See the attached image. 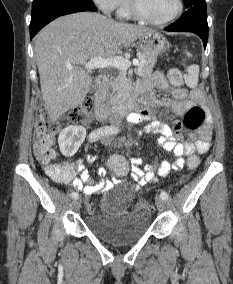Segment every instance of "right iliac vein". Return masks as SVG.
<instances>
[{
  "label": "right iliac vein",
  "instance_id": "63e3f726",
  "mask_svg": "<svg viewBox=\"0 0 233 284\" xmlns=\"http://www.w3.org/2000/svg\"><path fill=\"white\" fill-rule=\"evenodd\" d=\"M80 207H81V198L78 197L73 201V208L74 210H79Z\"/></svg>",
  "mask_w": 233,
  "mask_h": 284
}]
</instances>
